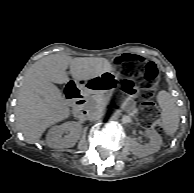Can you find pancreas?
I'll return each mask as SVG.
<instances>
[{
	"label": "pancreas",
	"instance_id": "pancreas-1",
	"mask_svg": "<svg viewBox=\"0 0 194 193\" xmlns=\"http://www.w3.org/2000/svg\"><path fill=\"white\" fill-rule=\"evenodd\" d=\"M96 99L103 100L102 106L106 103H112L120 106L131 117H134L137 113L134 102L131 99H128L127 95L109 92L106 94H99Z\"/></svg>",
	"mask_w": 194,
	"mask_h": 193
}]
</instances>
